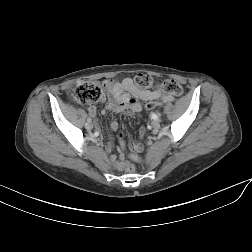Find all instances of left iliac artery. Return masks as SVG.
Returning <instances> with one entry per match:
<instances>
[{
    "label": "left iliac artery",
    "instance_id": "44dca946",
    "mask_svg": "<svg viewBox=\"0 0 252 252\" xmlns=\"http://www.w3.org/2000/svg\"><path fill=\"white\" fill-rule=\"evenodd\" d=\"M153 119H154V120H160L159 117H158V115H157V117H155V118H153Z\"/></svg>",
    "mask_w": 252,
    "mask_h": 252
}]
</instances>
